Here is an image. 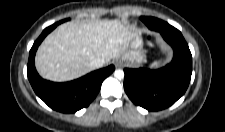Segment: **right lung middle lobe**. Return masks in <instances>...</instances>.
Instances as JSON below:
<instances>
[{"mask_svg":"<svg viewBox=\"0 0 225 132\" xmlns=\"http://www.w3.org/2000/svg\"><path fill=\"white\" fill-rule=\"evenodd\" d=\"M64 21H67V19H65V20H62V21H59L58 23H62V22H64Z\"/></svg>","mask_w":225,"mask_h":132,"instance_id":"obj_1","label":"right lung middle lobe"}]
</instances>
